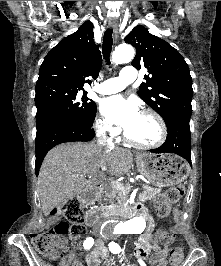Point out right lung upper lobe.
I'll return each instance as SVG.
<instances>
[{"label": "right lung upper lobe", "instance_id": "obj_1", "mask_svg": "<svg viewBox=\"0 0 221 266\" xmlns=\"http://www.w3.org/2000/svg\"><path fill=\"white\" fill-rule=\"evenodd\" d=\"M102 65L101 52L94 42L93 24L86 21L73 34L62 39L44 58L36 88L67 87L83 89L86 78H96Z\"/></svg>", "mask_w": 221, "mask_h": 266}]
</instances>
